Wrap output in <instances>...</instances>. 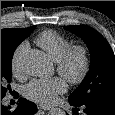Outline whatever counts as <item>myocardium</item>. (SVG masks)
Wrapping results in <instances>:
<instances>
[{"instance_id": "myocardium-1", "label": "myocardium", "mask_w": 115, "mask_h": 115, "mask_svg": "<svg viewBox=\"0 0 115 115\" xmlns=\"http://www.w3.org/2000/svg\"><path fill=\"white\" fill-rule=\"evenodd\" d=\"M78 59L80 67L74 71L73 62ZM91 67V57L86 46L75 44L71 45L56 62V71L70 84H79L88 75Z\"/></svg>"}]
</instances>
